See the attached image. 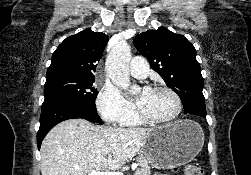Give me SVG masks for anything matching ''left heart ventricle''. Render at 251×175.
I'll return each mask as SVG.
<instances>
[{"instance_id": "left-heart-ventricle-1", "label": "left heart ventricle", "mask_w": 251, "mask_h": 175, "mask_svg": "<svg viewBox=\"0 0 251 175\" xmlns=\"http://www.w3.org/2000/svg\"><path fill=\"white\" fill-rule=\"evenodd\" d=\"M137 108L160 120H170L177 114L178 107L173 95L168 91L151 90L149 96L140 91L135 97Z\"/></svg>"}]
</instances>
